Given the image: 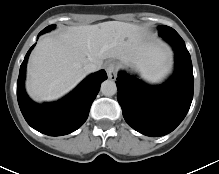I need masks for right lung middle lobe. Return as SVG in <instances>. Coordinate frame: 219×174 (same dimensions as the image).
Listing matches in <instances>:
<instances>
[{
	"label": "right lung middle lobe",
	"mask_w": 219,
	"mask_h": 174,
	"mask_svg": "<svg viewBox=\"0 0 219 174\" xmlns=\"http://www.w3.org/2000/svg\"><path fill=\"white\" fill-rule=\"evenodd\" d=\"M54 27H55V25H50V26L46 27L45 29H43V30L41 31V33L48 32V31L52 30Z\"/></svg>",
	"instance_id": "dd1d6c3e"
}]
</instances>
